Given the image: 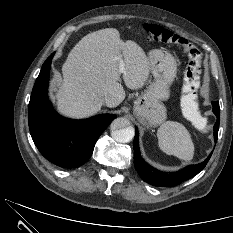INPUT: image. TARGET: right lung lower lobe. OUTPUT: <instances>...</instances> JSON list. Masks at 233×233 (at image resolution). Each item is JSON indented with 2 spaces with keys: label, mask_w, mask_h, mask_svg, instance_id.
Instances as JSON below:
<instances>
[{
  "label": "right lung lower lobe",
  "mask_w": 233,
  "mask_h": 233,
  "mask_svg": "<svg viewBox=\"0 0 233 233\" xmlns=\"http://www.w3.org/2000/svg\"><path fill=\"white\" fill-rule=\"evenodd\" d=\"M53 55L43 64L33 87L28 106L29 129L46 159L63 168H76L90 158L99 136L116 116L101 114L83 120L59 116L47 97Z\"/></svg>",
  "instance_id": "98d812e1"
}]
</instances>
